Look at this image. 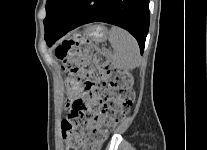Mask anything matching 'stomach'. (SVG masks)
<instances>
[{
    "label": "stomach",
    "instance_id": "1",
    "mask_svg": "<svg viewBox=\"0 0 207 150\" xmlns=\"http://www.w3.org/2000/svg\"><path fill=\"white\" fill-rule=\"evenodd\" d=\"M85 35L92 38L93 40L99 42L102 41L105 37L106 34V30L104 28V26L100 25V24H95V25H91L89 26L86 30H85Z\"/></svg>",
    "mask_w": 207,
    "mask_h": 150
}]
</instances>
